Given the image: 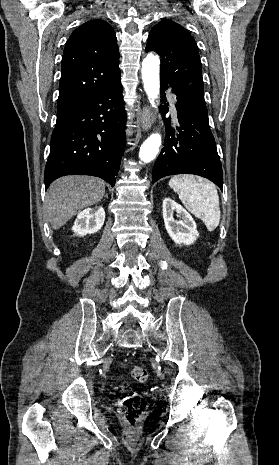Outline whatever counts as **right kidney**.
I'll return each instance as SVG.
<instances>
[{
    "label": "right kidney",
    "mask_w": 279,
    "mask_h": 465,
    "mask_svg": "<svg viewBox=\"0 0 279 465\" xmlns=\"http://www.w3.org/2000/svg\"><path fill=\"white\" fill-rule=\"evenodd\" d=\"M104 208H87L77 215L72 230L77 236H85L98 232L104 224Z\"/></svg>",
    "instance_id": "ca27d5eb"
}]
</instances>
